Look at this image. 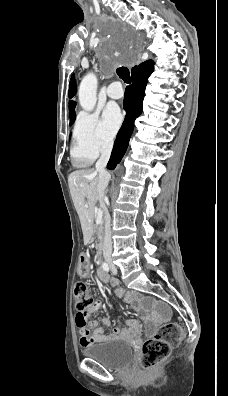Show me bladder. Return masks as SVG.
I'll use <instances>...</instances> for the list:
<instances>
[{"mask_svg": "<svg viewBox=\"0 0 228 396\" xmlns=\"http://www.w3.org/2000/svg\"><path fill=\"white\" fill-rule=\"evenodd\" d=\"M90 358L102 366L120 370L128 367L133 361V350L126 340L113 339L88 345L82 350Z\"/></svg>", "mask_w": 228, "mask_h": 396, "instance_id": "1", "label": "bladder"}]
</instances>
